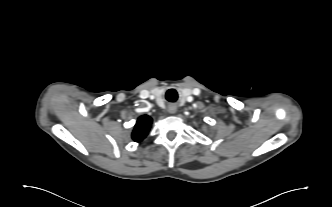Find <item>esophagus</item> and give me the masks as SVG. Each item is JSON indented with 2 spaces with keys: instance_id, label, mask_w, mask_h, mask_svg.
<instances>
[{
  "instance_id": "esophagus-1",
  "label": "esophagus",
  "mask_w": 332,
  "mask_h": 207,
  "mask_svg": "<svg viewBox=\"0 0 332 207\" xmlns=\"http://www.w3.org/2000/svg\"><path fill=\"white\" fill-rule=\"evenodd\" d=\"M177 111V106L174 104H171L168 106V112L169 114H175V112Z\"/></svg>"
}]
</instances>
